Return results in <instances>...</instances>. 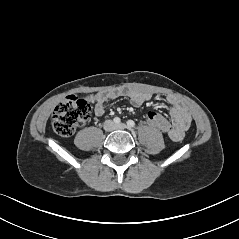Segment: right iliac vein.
<instances>
[{"instance_id": "63e3f726", "label": "right iliac vein", "mask_w": 239, "mask_h": 239, "mask_svg": "<svg viewBox=\"0 0 239 239\" xmlns=\"http://www.w3.org/2000/svg\"><path fill=\"white\" fill-rule=\"evenodd\" d=\"M109 128H112V124H109V126H108Z\"/></svg>"}]
</instances>
